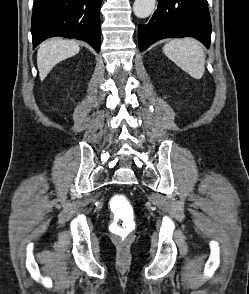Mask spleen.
<instances>
[{"label": "spleen", "mask_w": 249, "mask_h": 294, "mask_svg": "<svg viewBox=\"0 0 249 294\" xmlns=\"http://www.w3.org/2000/svg\"><path fill=\"white\" fill-rule=\"evenodd\" d=\"M164 54L195 79L205 71V55L199 41L192 38L176 39L163 47Z\"/></svg>", "instance_id": "1"}]
</instances>
